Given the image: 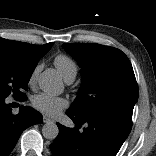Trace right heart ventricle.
Wrapping results in <instances>:
<instances>
[{
  "instance_id": "right-heart-ventricle-1",
  "label": "right heart ventricle",
  "mask_w": 156,
  "mask_h": 156,
  "mask_svg": "<svg viewBox=\"0 0 156 156\" xmlns=\"http://www.w3.org/2000/svg\"><path fill=\"white\" fill-rule=\"evenodd\" d=\"M54 65L65 81L74 80L78 71L76 63L67 55L60 54L54 58Z\"/></svg>"
}]
</instances>
